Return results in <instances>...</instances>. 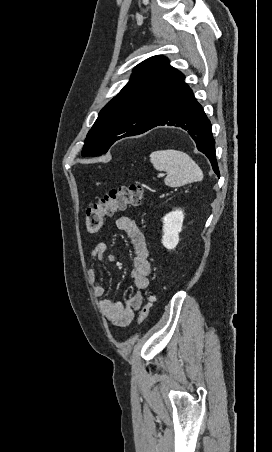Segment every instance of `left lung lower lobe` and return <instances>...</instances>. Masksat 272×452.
Segmentation results:
<instances>
[{
    "label": "left lung lower lobe",
    "mask_w": 272,
    "mask_h": 452,
    "mask_svg": "<svg viewBox=\"0 0 272 452\" xmlns=\"http://www.w3.org/2000/svg\"><path fill=\"white\" fill-rule=\"evenodd\" d=\"M160 125L176 126L186 130L195 141L197 149L208 157L214 172L218 177L220 176L211 123L186 83L180 86L155 122L142 133Z\"/></svg>",
    "instance_id": "0a47b994"
}]
</instances>
